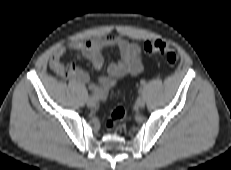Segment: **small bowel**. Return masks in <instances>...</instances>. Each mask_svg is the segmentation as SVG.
Listing matches in <instances>:
<instances>
[{"label":"small bowel","instance_id":"small-bowel-1","mask_svg":"<svg viewBox=\"0 0 231 170\" xmlns=\"http://www.w3.org/2000/svg\"><path fill=\"white\" fill-rule=\"evenodd\" d=\"M116 47L120 59L111 63L107 75L98 77L96 83L91 82L90 75L77 66H70L68 76L81 84L87 85L98 100L106 101L110 89L119 80L139 74L143 69L141 47L133 42L112 35L87 41H74L57 48L49 61L50 67L57 73L65 69L62 58L67 53H74L87 59L95 69H100L104 63L103 50Z\"/></svg>","mask_w":231,"mask_h":170}]
</instances>
